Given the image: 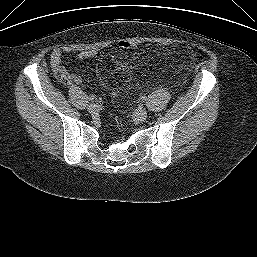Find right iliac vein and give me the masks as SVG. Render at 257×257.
<instances>
[{
	"instance_id": "63e3f726",
	"label": "right iliac vein",
	"mask_w": 257,
	"mask_h": 257,
	"mask_svg": "<svg viewBox=\"0 0 257 257\" xmlns=\"http://www.w3.org/2000/svg\"><path fill=\"white\" fill-rule=\"evenodd\" d=\"M87 109L90 113L95 114L98 112V106L94 103H91L87 106Z\"/></svg>"
}]
</instances>
